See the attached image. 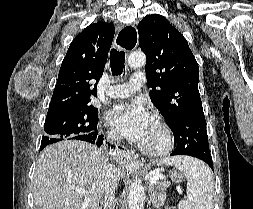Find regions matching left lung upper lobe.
I'll return each instance as SVG.
<instances>
[{
  "mask_svg": "<svg viewBox=\"0 0 253 209\" xmlns=\"http://www.w3.org/2000/svg\"><path fill=\"white\" fill-rule=\"evenodd\" d=\"M150 98L173 132L178 155L211 156L198 90L199 67L184 36L159 14L138 24ZM158 87V89H156Z\"/></svg>",
  "mask_w": 253,
  "mask_h": 209,
  "instance_id": "left-lung-upper-lobe-1",
  "label": "left lung upper lobe"
}]
</instances>
